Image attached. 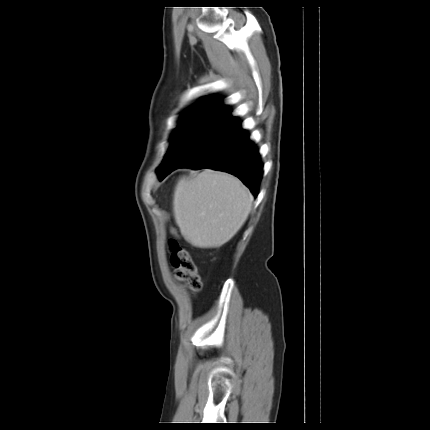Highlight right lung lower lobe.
<instances>
[{"mask_svg": "<svg viewBox=\"0 0 430 430\" xmlns=\"http://www.w3.org/2000/svg\"><path fill=\"white\" fill-rule=\"evenodd\" d=\"M180 167L228 172L237 176L255 197L263 174L258 149L240 123Z\"/></svg>", "mask_w": 430, "mask_h": 430, "instance_id": "obj_1", "label": "right lung lower lobe"}]
</instances>
